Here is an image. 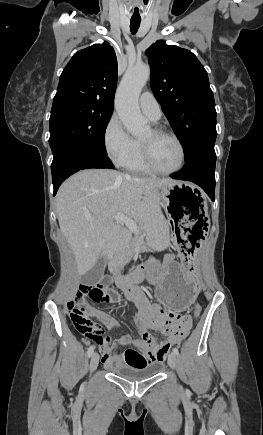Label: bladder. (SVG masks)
Returning <instances> with one entry per match:
<instances>
[{"label":"bladder","mask_w":263,"mask_h":435,"mask_svg":"<svg viewBox=\"0 0 263 435\" xmlns=\"http://www.w3.org/2000/svg\"><path fill=\"white\" fill-rule=\"evenodd\" d=\"M163 363L154 361L144 366L119 365L111 368V371L117 376L132 380H144L152 378L160 373Z\"/></svg>","instance_id":"bladder-1"}]
</instances>
